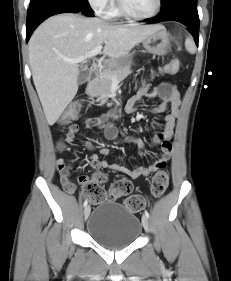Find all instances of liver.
<instances>
[{"label":"liver","mask_w":231,"mask_h":281,"mask_svg":"<svg viewBox=\"0 0 231 281\" xmlns=\"http://www.w3.org/2000/svg\"><path fill=\"white\" fill-rule=\"evenodd\" d=\"M162 28L115 25L72 13L44 21L29 41V63L47 123L55 124L78 90V64L66 60L84 56L104 43L102 53L114 64Z\"/></svg>","instance_id":"6515ba94"}]
</instances>
